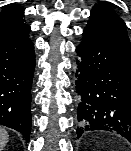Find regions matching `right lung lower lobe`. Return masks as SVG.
Instances as JSON below:
<instances>
[{
	"mask_svg": "<svg viewBox=\"0 0 131 151\" xmlns=\"http://www.w3.org/2000/svg\"><path fill=\"white\" fill-rule=\"evenodd\" d=\"M29 31L0 35V125L15 129L29 142L31 87L35 69Z\"/></svg>",
	"mask_w": 131,
	"mask_h": 151,
	"instance_id": "1",
	"label": "right lung lower lobe"
}]
</instances>
